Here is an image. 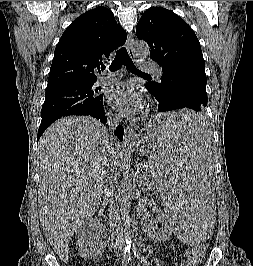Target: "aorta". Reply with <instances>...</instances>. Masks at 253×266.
<instances>
[{"label":"aorta","mask_w":253,"mask_h":266,"mask_svg":"<svg viewBox=\"0 0 253 266\" xmlns=\"http://www.w3.org/2000/svg\"><path fill=\"white\" fill-rule=\"evenodd\" d=\"M133 50L135 56L138 58H147L150 53L149 46L143 41L136 42ZM133 189L134 186L132 184L131 177L129 173L126 172L123 174V179L121 180L118 188V203L120 213L123 218H126L129 215ZM125 238L127 240L128 236L126 235Z\"/></svg>","instance_id":"aorta-1"}]
</instances>
